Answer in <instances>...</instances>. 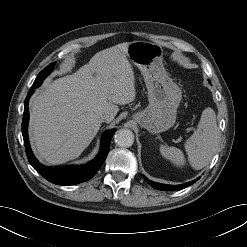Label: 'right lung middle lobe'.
Segmentation results:
<instances>
[{"mask_svg": "<svg viewBox=\"0 0 247 247\" xmlns=\"http://www.w3.org/2000/svg\"><path fill=\"white\" fill-rule=\"evenodd\" d=\"M54 63H51L50 65H48L46 68H44L37 76V78L34 81V85H40L42 83V81L53 71L54 69Z\"/></svg>", "mask_w": 247, "mask_h": 247, "instance_id": "dd1d6c3e", "label": "right lung middle lobe"}]
</instances>
